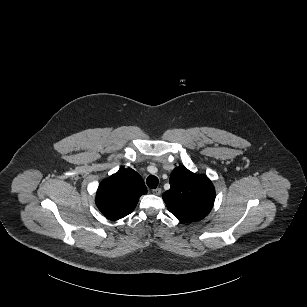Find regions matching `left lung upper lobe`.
Masks as SVG:
<instances>
[{
    "label": "left lung upper lobe",
    "mask_w": 307,
    "mask_h": 307,
    "mask_svg": "<svg viewBox=\"0 0 307 307\" xmlns=\"http://www.w3.org/2000/svg\"><path fill=\"white\" fill-rule=\"evenodd\" d=\"M171 188L163 194L168 210L181 222L198 221L212 209L215 188L205 175L194 174L184 166L173 170Z\"/></svg>",
    "instance_id": "left-lung-upper-lobe-1"
}]
</instances>
